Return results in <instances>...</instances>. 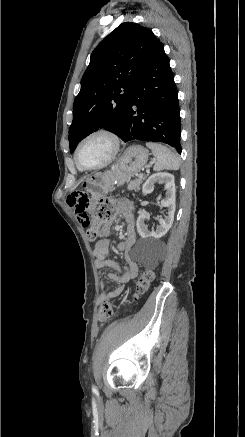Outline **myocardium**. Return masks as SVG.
<instances>
[{
    "label": "myocardium",
    "mask_w": 245,
    "mask_h": 437,
    "mask_svg": "<svg viewBox=\"0 0 245 437\" xmlns=\"http://www.w3.org/2000/svg\"><path fill=\"white\" fill-rule=\"evenodd\" d=\"M99 135L107 137L112 142L111 154L109 155V157L106 160H104L103 162H101L97 165H93V166L83 165L79 159V151H80L81 146L88 139H90L94 136H99ZM121 146H122V140H121L120 136L118 135V133H116L112 129H109L106 127H100V128H97V129H94V130L88 132L86 135H84L79 140V142L76 145L75 151H74V158H75L77 166L82 170L89 171V170L101 169V168H104V167L108 166L109 164H111L117 158V156L120 153Z\"/></svg>",
    "instance_id": "f54148a6"
}]
</instances>
